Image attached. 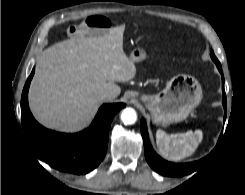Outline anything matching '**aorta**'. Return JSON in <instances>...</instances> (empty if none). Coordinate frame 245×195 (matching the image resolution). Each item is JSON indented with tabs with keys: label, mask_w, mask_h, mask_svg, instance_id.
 <instances>
[{
	"label": "aorta",
	"mask_w": 245,
	"mask_h": 195,
	"mask_svg": "<svg viewBox=\"0 0 245 195\" xmlns=\"http://www.w3.org/2000/svg\"><path fill=\"white\" fill-rule=\"evenodd\" d=\"M121 120L125 125L134 124L137 120V114L133 108H125L121 114Z\"/></svg>",
	"instance_id": "762f6f07"
}]
</instances>
